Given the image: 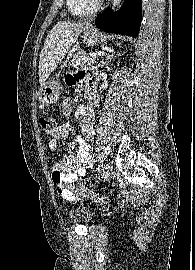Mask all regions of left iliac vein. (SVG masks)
I'll return each mask as SVG.
<instances>
[{
    "instance_id": "4c4485c4",
    "label": "left iliac vein",
    "mask_w": 195,
    "mask_h": 270,
    "mask_svg": "<svg viewBox=\"0 0 195 270\" xmlns=\"http://www.w3.org/2000/svg\"><path fill=\"white\" fill-rule=\"evenodd\" d=\"M112 171V166L109 162H107L101 169V179L106 180Z\"/></svg>"
}]
</instances>
